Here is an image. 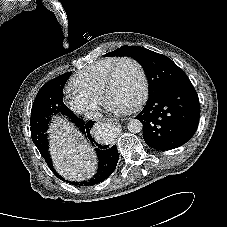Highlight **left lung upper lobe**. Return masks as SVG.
<instances>
[{"mask_svg": "<svg viewBox=\"0 0 227 227\" xmlns=\"http://www.w3.org/2000/svg\"><path fill=\"white\" fill-rule=\"evenodd\" d=\"M107 56H130L144 69L150 96L171 86L189 80L186 74L168 57L140 46H121Z\"/></svg>", "mask_w": 227, "mask_h": 227, "instance_id": "1", "label": "left lung upper lobe"}]
</instances>
